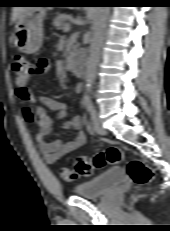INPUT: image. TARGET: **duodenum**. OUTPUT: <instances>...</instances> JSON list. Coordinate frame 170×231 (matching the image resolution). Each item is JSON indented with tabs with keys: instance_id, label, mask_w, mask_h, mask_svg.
I'll return each instance as SVG.
<instances>
[{
	"instance_id": "410a0bca",
	"label": "duodenum",
	"mask_w": 170,
	"mask_h": 231,
	"mask_svg": "<svg viewBox=\"0 0 170 231\" xmlns=\"http://www.w3.org/2000/svg\"><path fill=\"white\" fill-rule=\"evenodd\" d=\"M66 64L71 67L72 69H74V71L76 72V74L82 78L84 76V65L85 62L84 60L80 57L79 54L75 55L72 58H68L66 60Z\"/></svg>"
}]
</instances>
